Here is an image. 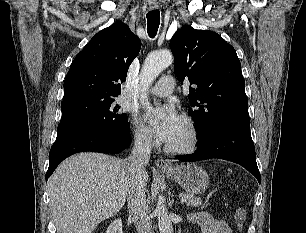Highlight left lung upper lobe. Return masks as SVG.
<instances>
[{
    "mask_svg": "<svg viewBox=\"0 0 306 233\" xmlns=\"http://www.w3.org/2000/svg\"><path fill=\"white\" fill-rule=\"evenodd\" d=\"M174 72L189 80L190 115L199 138L228 125H250L241 64L235 49L219 34L182 26L170 40Z\"/></svg>",
    "mask_w": 306,
    "mask_h": 233,
    "instance_id": "1",
    "label": "left lung upper lobe"
}]
</instances>
